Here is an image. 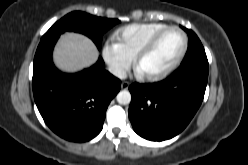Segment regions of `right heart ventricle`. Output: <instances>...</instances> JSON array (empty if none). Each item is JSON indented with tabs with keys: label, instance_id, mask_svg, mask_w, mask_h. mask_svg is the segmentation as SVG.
<instances>
[{
	"label": "right heart ventricle",
	"instance_id": "1",
	"mask_svg": "<svg viewBox=\"0 0 248 165\" xmlns=\"http://www.w3.org/2000/svg\"><path fill=\"white\" fill-rule=\"evenodd\" d=\"M165 27L167 25L164 23H135L119 29L115 39L124 52L133 58L153 34Z\"/></svg>",
	"mask_w": 248,
	"mask_h": 165
}]
</instances>
